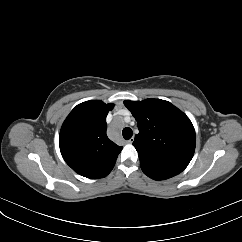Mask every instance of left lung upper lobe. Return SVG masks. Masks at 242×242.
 Returning a JSON list of instances; mask_svg holds the SVG:
<instances>
[{
    "mask_svg": "<svg viewBox=\"0 0 242 242\" xmlns=\"http://www.w3.org/2000/svg\"><path fill=\"white\" fill-rule=\"evenodd\" d=\"M124 104L138 123L133 145L143 172L154 180L181 173L195 151V130L189 118L161 99L126 100Z\"/></svg>",
    "mask_w": 242,
    "mask_h": 242,
    "instance_id": "left-lung-upper-lobe-1",
    "label": "left lung upper lobe"
}]
</instances>
